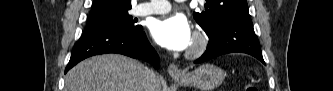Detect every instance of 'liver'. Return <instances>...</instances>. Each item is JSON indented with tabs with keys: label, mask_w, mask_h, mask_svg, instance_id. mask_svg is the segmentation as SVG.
I'll use <instances>...</instances> for the list:
<instances>
[{
	"label": "liver",
	"mask_w": 333,
	"mask_h": 91,
	"mask_svg": "<svg viewBox=\"0 0 333 91\" xmlns=\"http://www.w3.org/2000/svg\"><path fill=\"white\" fill-rule=\"evenodd\" d=\"M143 64L118 54L94 56L72 68L64 91H145ZM154 91H161L157 78Z\"/></svg>",
	"instance_id": "liver-1"
}]
</instances>
